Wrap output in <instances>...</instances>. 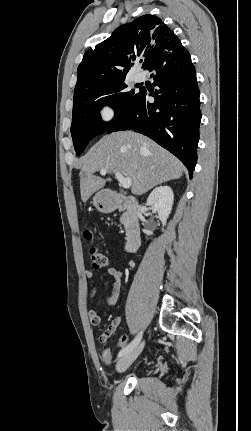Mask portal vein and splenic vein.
I'll use <instances>...</instances> for the list:
<instances>
[{
    "label": "portal vein and splenic vein",
    "mask_w": 251,
    "mask_h": 431,
    "mask_svg": "<svg viewBox=\"0 0 251 431\" xmlns=\"http://www.w3.org/2000/svg\"><path fill=\"white\" fill-rule=\"evenodd\" d=\"M107 173V169H101L100 170V174L101 175H105ZM115 177L116 179L119 181V183L121 184V186L125 189H128L131 187L132 184V180L129 177H124L121 173L115 171Z\"/></svg>",
    "instance_id": "1"
}]
</instances>
